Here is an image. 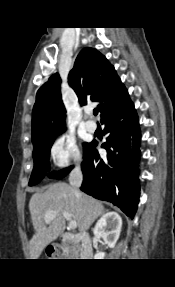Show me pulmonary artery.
<instances>
[{"mask_svg": "<svg viewBox=\"0 0 175 287\" xmlns=\"http://www.w3.org/2000/svg\"><path fill=\"white\" fill-rule=\"evenodd\" d=\"M87 115L90 117L91 116V111H87ZM85 127L91 133L95 132L96 129H97L96 123L94 121H92V120H86Z\"/></svg>", "mask_w": 175, "mask_h": 287, "instance_id": "e3ab8cb5", "label": "pulmonary artery"}]
</instances>
